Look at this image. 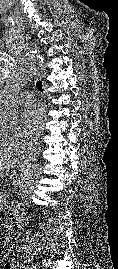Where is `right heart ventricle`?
Listing matches in <instances>:
<instances>
[{"label":"right heart ventricle","mask_w":118,"mask_h":269,"mask_svg":"<svg viewBox=\"0 0 118 269\" xmlns=\"http://www.w3.org/2000/svg\"><path fill=\"white\" fill-rule=\"evenodd\" d=\"M1 148H6L7 149V146L5 147L3 144L0 143V149ZM10 148V147H9Z\"/></svg>","instance_id":"1"}]
</instances>
